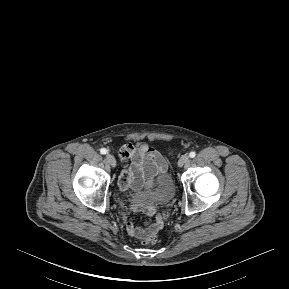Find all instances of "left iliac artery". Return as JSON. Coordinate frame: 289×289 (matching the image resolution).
<instances>
[{
  "mask_svg": "<svg viewBox=\"0 0 289 289\" xmlns=\"http://www.w3.org/2000/svg\"><path fill=\"white\" fill-rule=\"evenodd\" d=\"M190 158H194L196 156V153L194 151L190 152L189 154Z\"/></svg>",
  "mask_w": 289,
  "mask_h": 289,
  "instance_id": "44dca946",
  "label": "left iliac artery"
}]
</instances>
